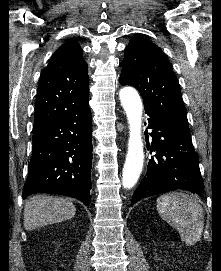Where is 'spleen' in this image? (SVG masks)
<instances>
[{"instance_id": "1", "label": "spleen", "mask_w": 221, "mask_h": 271, "mask_svg": "<svg viewBox=\"0 0 221 271\" xmlns=\"http://www.w3.org/2000/svg\"><path fill=\"white\" fill-rule=\"evenodd\" d=\"M157 209L162 219L179 231L182 241L187 245H195L200 241L204 227V213L200 203L191 195L165 193L158 197Z\"/></svg>"}]
</instances>
